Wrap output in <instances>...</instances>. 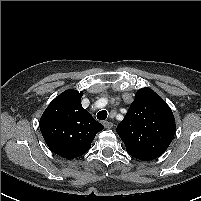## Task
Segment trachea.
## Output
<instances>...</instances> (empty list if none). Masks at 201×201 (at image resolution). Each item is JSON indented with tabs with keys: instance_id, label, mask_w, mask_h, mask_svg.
Returning <instances> with one entry per match:
<instances>
[{
	"instance_id": "3493384b",
	"label": "trachea",
	"mask_w": 201,
	"mask_h": 201,
	"mask_svg": "<svg viewBox=\"0 0 201 201\" xmlns=\"http://www.w3.org/2000/svg\"><path fill=\"white\" fill-rule=\"evenodd\" d=\"M107 118V111L102 110L97 113V119L105 120Z\"/></svg>"
}]
</instances>
